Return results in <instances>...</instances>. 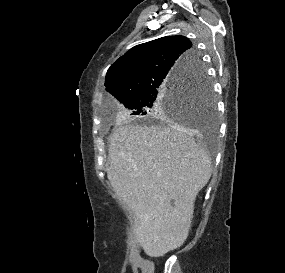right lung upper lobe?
Returning <instances> with one entry per match:
<instances>
[{
    "mask_svg": "<svg viewBox=\"0 0 285 273\" xmlns=\"http://www.w3.org/2000/svg\"><path fill=\"white\" fill-rule=\"evenodd\" d=\"M201 67L190 40L166 36L137 45L109 69L105 86L121 103Z\"/></svg>",
    "mask_w": 285,
    "mask_h": 273,
    "instance_id": "obj_1",
    "label": "right lung upper lobe"
}]
</instances>
